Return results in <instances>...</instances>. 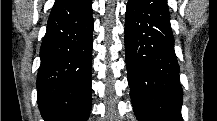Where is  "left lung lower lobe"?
<instances>
[{"instance_id":"left-lung-lower-lobe-1","label":"left lung lower lobe","mask_w":217,"mask_h":121,"mask_svg":"<svg viewBox=\"0 0 217 121\" xmlns=\"http://www.w3.org/2000/svg\"><path fill=\"white\" fill-rule=\"evenodd\" d=\"M125 55L139 121H182V88L167 0H129Z\"/></svg>"}]
</instances>
